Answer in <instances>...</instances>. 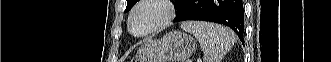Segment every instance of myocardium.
<instances>
[{
  "label": "myocardium",
  "instance_id": "myocardium-1",
  "mask_svg": "<svg viewBox=\"0 0 331 62\" xmlns=\"http://www.w3.org/2000/svg\"><path fill=\"white\" fill-rule=\"evenodd\" d=\"M157 5L163 9V15L160 19L143 32L137 33L133 30V20L137 13L146 6ZM175 8L172 1L169 0H143L131 10L128 17V29L136 37H145L165 28L175 17Z\"/></svg>",
  "mask_w": 331,
  "mask_h": 62
}]
</instances>
